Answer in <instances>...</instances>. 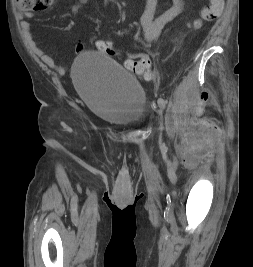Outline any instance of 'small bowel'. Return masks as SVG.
<instances>
[{
    "instance_id": "small-bowel-1",
    "label": "small bowel",
    "mask_w": 253,
    "mask_h": 267,
    "mask_svg": "<svg viewBox=\"0 0 253 267\" xmlns=\"http://www.w3.org/2000/svg\"><path fill=\"white\" fill-rule=\"evenodd\" d=\"M89 3V0H77V2L71 7L73 14H78L83 7ZM158 0H147L146 8L143 15L140 18V25L143 30L145 39L149 42L155 41L161 34L165 25L171 20L179 16L184 9L183 0H172V5L163 13L157 15L156 9ZM31 16V14H27ZM21 29L23 37L28 46L46 63H51L52 58L50 55L40 48L32 38L31 25L27 21L21 22ZM83 45L78 44L76 50L78 53L83 51Z\"/></svg>"
}]
</instances>
